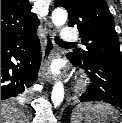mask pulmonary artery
Segmentation results:
<instances>
[{
  "mask_svg": "<svg viewBox=\"0 0 122 123\" xmlns=\"http://www.w3.org/2000/svg\"><path fill=\"white\" fill-rule=\"evenodd\" d=\"M61 39L68 43H73L78 39L76 32L70 28H64L61 33Z\"/></svg>",
  "mask_w": 122,
  "mask_h": 123,
  "instance_id": "obj_1",
  "label": "pulmonary artery"
}]
</instances>
